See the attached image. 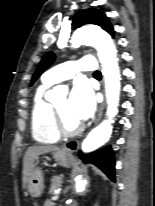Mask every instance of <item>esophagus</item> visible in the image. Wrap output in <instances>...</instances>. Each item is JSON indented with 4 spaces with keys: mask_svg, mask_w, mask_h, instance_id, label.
Wrapping results in <instances>:
<instances>
[{
    "mask_svg": "<svg viewBox=\"0 0 155 206\" xmlns=\"http://www.w3.org/2000/svg\"><path fill=\"white\" fill-rule=\"evenodd\" d=\"M105 107V101L103 100L99 106V110H98V115H97V119H96V123H98L102 117L103 114V110ZM79 148V142L76 140H72L69 142H66L63 146V150L68 151V152H74Z\"/></svg>",
    "mask_w": 155,
    "mask_h": 206,
    "instance_id": "obj_1",
    "label": "esophagus"
}]
</instances>
